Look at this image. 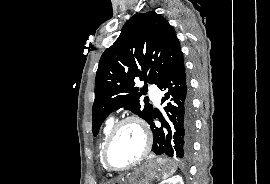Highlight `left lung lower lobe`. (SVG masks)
I'll list each match as a JSON object with an SVG mask.
<instances>
[{
  "label": "left lung lower lobe",
  "instance_id": "left-lung-lower-lobe-1",
  "mask_svg": "<svg viewBox=\"0 0 270 184\" xmlns=\"http://www.w3.org/2000/svg\"><path fill=\"white\" fill-rule=\"evenodd\" d=\"M165 92L162 103L166 106V118L153 113L149 125L153 132L152 153L187 161L192 155L194 117L189 84L183 54L180 51L157 85ZM158 117L162 126L156 127L153 118Z\"/></svg>",
  "mask_w": 270,
  "mask_h": 184
}]
</instances>
